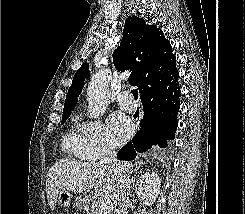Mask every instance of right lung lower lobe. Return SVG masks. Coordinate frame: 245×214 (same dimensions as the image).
I'll use <instances>...</instances> for the list:
<instances>
[{
  "instance_id": "obj_1",
  "label": "right lung lower lobe",
  "mask_w": 245,
  "mask_h": 214,
  "mask_svg": "<svg viewBox=\"0 0 245 214\" xmlns=\"http://www.w3.org/2000/svg\"><path fill=\"white\" fill-rule=\"evenodd\" d=\"M176 59L155 68L146 76L140 90L144 116L140 130L117 154L120 160H133L137 152L167 147L178 126L180 87Z\"/></svg>"
}]
</instances>
